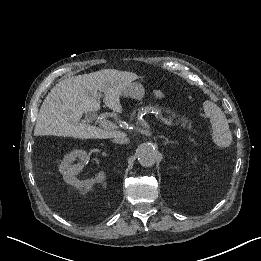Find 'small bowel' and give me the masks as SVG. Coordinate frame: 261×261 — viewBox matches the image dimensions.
<instances>
[{"instance_id":"obj_1","label":"small bowel","mask_w":261,"mask_h":261,"mask_svg":"<svg viewBox=\"0 0 261 261\" xmlns=\"http://www.w3.org/2000/svg\"><path fill=\"white\" fill-rule=\"evenodd\" d=\"M153 93H154V95H155L156 97H158V98H162V97H163V92H162L161 90H159V89H155V90L153 91Z\"/></svg>"}]
</instances>
